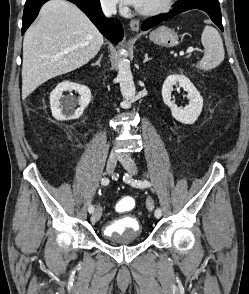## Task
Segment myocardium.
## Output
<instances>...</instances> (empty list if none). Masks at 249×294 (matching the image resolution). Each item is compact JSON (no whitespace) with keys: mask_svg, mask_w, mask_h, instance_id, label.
Listing matches in <instances>:
<instances>
[{"mask_svg":"<svg viewBox=\"0 0 249 294\" xmlns=\"http://www.w3.org/2000/svg\"><path fill=\"white\" fill-rule=\"evenodd\" d=\"M175 1L176 0H166L160 6H157V7L151 8V9H141L138 7L137 12L142 15H146V16L158 15V14H161V13L168 11L172 7V5L174 4Z\"/></svg>","mask_w":249,"mask_h":294,"instance_id":"obj_1","label":"myocardium"}]
</instances>
